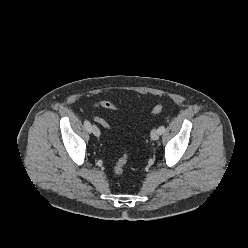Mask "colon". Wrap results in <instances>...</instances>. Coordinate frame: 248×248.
I'll list each match as a JSON object with an SVG mask.
<instances>
[{"label":"colon","mask_w":248,"mask_h":248,"mask_svg":"<svg viewBox=\"0 0 248 248\" xmlns=\"http://www.w3.org/2000/svg\"><path fill=\"white\" fill-rule=\"evenodd\" d=\"M96 107H101V108H104V109H107V110H111V111H116L118 109L117 105L110 102V101H99L96 103ZM164 109V105L162 103H159V104H156L152 110H151V114L153 115H156V114H159L162 110ZM95 121L100 124L103 128L105 129H109L110 128V125L109 123L101 118V117H95L94 118ZM129 159V155L128 153H124L118 160L117 162L115 163L114 165V168H113V171L116 175H121L124 171V167L127 163Z\"/></svg>","instance_id":"obj_1"}]
</instances>
